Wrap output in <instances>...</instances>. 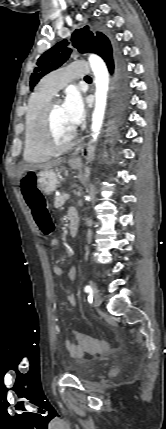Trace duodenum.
Returning a JSON list of instances; mask_svg holds the SVG:
<instances>
[{
	"instance_id": "1",
	"label": "duodenum",
	"mask_w": 166,
	"mask_h": 429,
	"mask_svg": "<svg viewBox=\"0 0 166 429\" xmlns=\"http://www.w3.org/2000/svg\"><path fill=\"white\" fill-rule=\"evenodd\" d=\"M79 219L77 213L72 210L69 213V227H70V234L75 235L78 229Z\"/></svg>"
}]
</instances>
